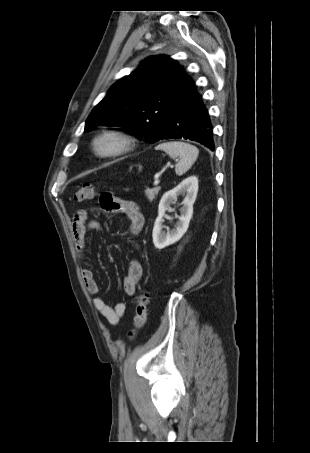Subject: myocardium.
Segmentation results:
<instances>
[{
	"instance_id": "f54148a6",
	"label": "myocardium",
	"mask_w": 310,
	"mask_h": 453,
	"mask_svg": "<svg viewBox=\"0 0 310 453\" xmlns=\"http://www.w3.org/2000/svg\"><path fill=\"white\" fill-rule=\"evenodd\" d=\"M135 147L133 136L121 126H110L97 133L91 141L93 153L100 158H112L130 152Z\"/></svg>"
}]
</instances>
